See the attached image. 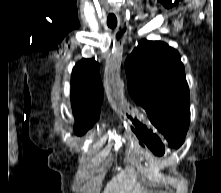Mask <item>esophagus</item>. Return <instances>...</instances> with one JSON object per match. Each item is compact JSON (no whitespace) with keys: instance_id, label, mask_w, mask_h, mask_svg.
<instances>
[{"instance_id":"obj_1","label":"esophagus","mask_w":221,"mask_h":193,"mask_svg":"<svg viewBox=\"0 0 221 193\" xmlns=\"http://www.w3.org/2000/svg\"><path fill=\"white\" fill-rule=\"evenodd\" d=\"M118 16H119V19H120V21H121L122 26H123V27L126 26V20L123 19V16L120 15V14H119Z\"/></svg>"}]
</instances>
